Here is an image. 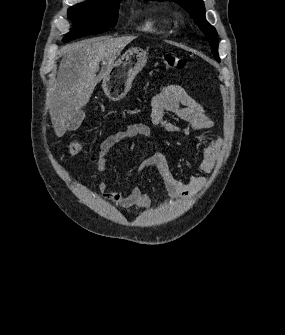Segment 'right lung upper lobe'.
I'll use <instances>...</instances> for the list:
<instances>
[{"label": "right lung upper lobe", "mask_w": 285, "mask_h": 335, "mask_svg": "<svg viewBox=\"0 0 285 335\" xmlns=\"http://www.w3.org/2000/svg\"><path fill=\"white\" fill-rule=\"evenodd\" d=\"M96 2H101L105 4H118L117 2H120L121 0H92Z\"/></svg>", "instance_id": "right-lung-upper-lobe-1"}]
</instances>
